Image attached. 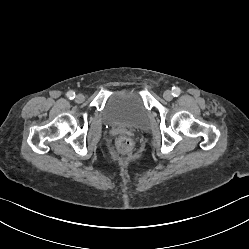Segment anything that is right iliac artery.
I'll return each mask as SVG.
<instances>
[{"instance_id":"right-iliac-artery-1","label":"right iliac artery","mask_w":249,"mask_h":249,"mask_svg":"<svg viewBox=\"0 0 249 249\" xmlns=\"http://www.w3.org/2000/svg\"><path fill=\"white\" fill-rule=\"evenodd\" d=\"M67 97H68L69 99H74V98H75V93H74L73 91H69V92L67 93Z\"/></svg>"}]
</instances>
